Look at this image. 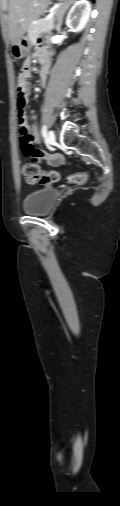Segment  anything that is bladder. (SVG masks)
<instances>
[{"label": "bladder", "mask_w": 120, "mask_h": 506, "mask_svg": "<svg viewBox=\"0 0 120 506\" xmlns=\"http://www.w3.org/2000/svg\"><path fill=\"white\" fill-rule=\"evenodd\" d=\"M57 197L58 191L52 187L35 190L26 195L22 209L26 214L46 215L52 209Z\"/></svg>", "instance_id": "1"}]
</instances>
